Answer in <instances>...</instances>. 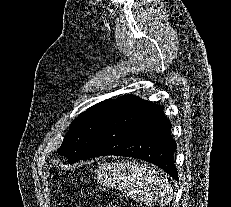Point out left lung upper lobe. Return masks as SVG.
I'll return each instance as SVG.
<instances>
[{"label": "left lung upper lobe", "instance_id": "1", "mask_svg": "<svg viewBox=\"0 0 231 207\" xmlns=\"http://www.w3.org/2000/svg\"><path fill=\"white\" fill-rule=\"evenodd\" d=\"M131 97L124 95L117 99H107L81 113L71 123L57 152L67 156L70 164L80 160L110 116Z\"/></svg>", "mask_w": 231, "mask_h": 207}]
</instances>
